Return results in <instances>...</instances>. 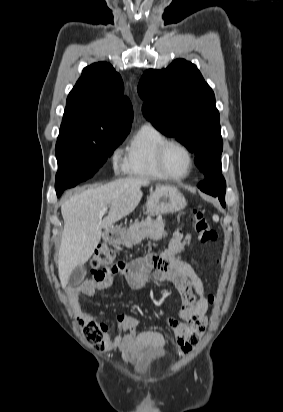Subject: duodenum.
Wrapping results in <instances>:
<instances>
[{
  "label": "duodenum",
  "mask_w": 283,
  "mask_h": 412,
  "mask_svg": "<svg viewBox=\"0 0 283 412\" xmlns=\"http://www.w3.org/2000/svg\"><path fill=\"white\" fill-rule=\"evenodd\" d=\"M119 238V228H115L114 230L110 231L109 233V242L111 244L116 243L117 239Z\"/></svg>",
  "instance_id": "410a0bca"
}]
</instances>
